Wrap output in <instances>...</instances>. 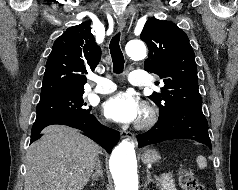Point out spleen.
<instances>
[{"mask_svg":"<svg viewBox=\"0 0 238 190\" xmlns=\"http://www.w3.org/2000/svg\"><path fill=\"white\" fill-rule=\"evenodd\" d=\"M197 164H198V167L200 168V169H204V168H206L207 167V162H206V159H205V157H203V156H198L197 157Z\"/></svg>","mask_w":238,"mask_h":190,"instance_id":"1","label":"spleen"}]
</instances>
